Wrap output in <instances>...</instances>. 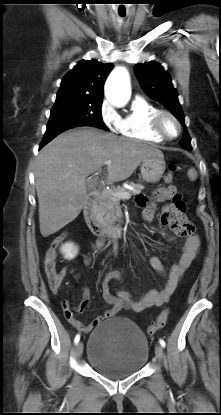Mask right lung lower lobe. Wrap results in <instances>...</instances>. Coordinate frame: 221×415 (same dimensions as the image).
Masks as SVG:
<instances>
[{
    "label": "right lung lower lobe",
    "mask_w": 221,
    "mask_h": 415,
    "mask_svg": "<svg viewBox=\"0 0 221 415\" xmlns=\"http://www.w3.org/2000/svg\"><path fill=\"white\" fill-rule=\"evenodd\" d=\"M79 126H85L83 124H60V125H50L47 126L46 133L40 143L39 149H41L44 145L50 142L53 138H55L60 133Z\"/></svg>",
    "instance_id": "right-lung-lower-lobe-1"
}]
</instances>
